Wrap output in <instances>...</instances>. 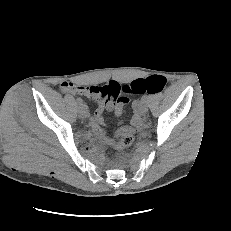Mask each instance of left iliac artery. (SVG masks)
Instances as JSON below:
<instances>
[{
  "mask_svg": "<svg viewBox=\"0 0 231 231\" xmlns=\"http://www.w3.org/2000/svg\"><path fill=\"white\" fill-rule=\"evenodd\" d=\"M149 99V96H147V95H144L143 97H142V100L143 101H146V100H148Z\"/></svg>",
  "mask_w": 231,
  "mask_h": 231,
  "instance_id": "left-iliac-artery-1",
  "label": "left iliac artery"
}]
</instances>
